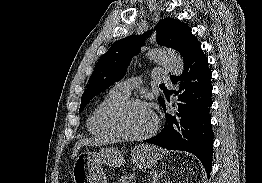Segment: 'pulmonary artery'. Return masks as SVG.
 I'll return each instance as SVG.
<instances>
[{
	"instance_id": "1",
	"label": "pulmonary artery",
	"mask_w": 262,
	"mask_h": 183,
	"mask_svg": "<svg viewBox=\"0 0 262 183\" xmlns=\"http://www.w3.org/2000/svg\"><path fill=\"white\" fill-rule=\"evenodd\" d=\"M152 80L154 82H163V83H170V79L167 76L161 75L158 72H153L152 73ZM141 84V81L139 79L136 78H129L126 80H123L121 82H118L113 90H115L116 92L128 97L131 93V91L139 86Z\"/></svg>"
}]
</instances>
